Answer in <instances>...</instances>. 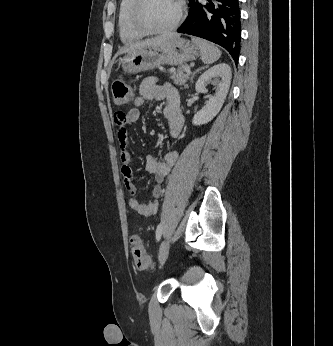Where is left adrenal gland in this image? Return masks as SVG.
<instances>
[{
    "instance_id": "left-adrenal-gland-1",
    "label": "left adrenal gland",
    "mask_w": 333,
    "mask_h": 346,
    "mask_svg": "<svg viewBox=\"0 0 333 346\" xmlns=\"http://www.w3.org/2000/svg\"><path fill=\"white\" fill-rule=\"evenodd\" d=\"M199 70H200V68H199V69H197L195 72H193V74H192V76H191V80L193 79V77H194L195 73H196V72H198Z\"/></svg>"
}]
</instances>
